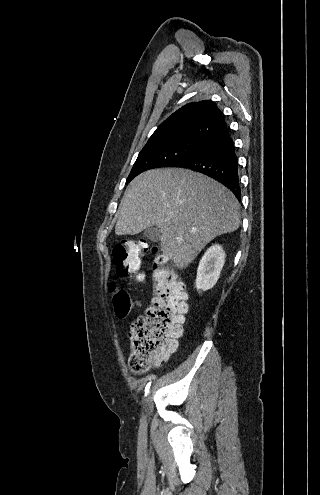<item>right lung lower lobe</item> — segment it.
I'll return each instance as SVG.
<instances>
[{
    "instance_id": "right-lung-lower-lobe-1",
    "label": "right lung lower lobe",
    "mask_w": 320,
    "mask_h": 495,
    "mask_svg": "<svg viewBox=\"0 0 320 495\" xmlns=\"http://www.w3.org/2000/svg\"><path fill=\"white\" fill-rule=\"evenodd\" d=\"M176 167L203 173L224 184L238 200L241 198L236 148L228 127L206 139L197 152Z\"/></svg>"
}]
</instances>
